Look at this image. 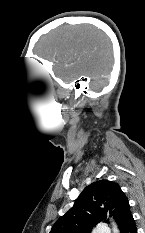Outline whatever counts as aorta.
Segmentation results:
<instances>
[{"label":"aorta","mask_w":145,"mask_h":233,"mask_svg":"<svg viewBox=\"0 0 145 233\" xmlns=\"http://www.w3.org/2000/svg\"><path fill=\"white\" fill-rule=\"evenodd\" d=\"M111 225H112L113 233H119V230H118L117 225L115 224V222L111 221Z\"/></svg>","instance_id":"762f6f07"}]
</instances>
